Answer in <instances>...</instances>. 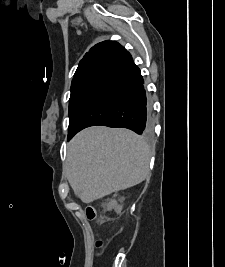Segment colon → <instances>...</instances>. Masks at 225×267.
Segmentation results:
<instances>
[{
	"mask_svg": "<svg viewBox=\"0 0 225 267\" xmlns=\"http://www.w3.org/2000/svg\"><path fill=\"white\" fill-rule=\"evenodd\" d=\"M86 215H87L88 219H94L95 218V215H96L95 208L92 207V206L87 207V209H86ZM96 246L98 248H101L103 246V241L100 240V239H98L96 241Z\"/></svg>",
	"mask_w": 225,
	"mask_h": 267,
	"instance_id": "1",
	"label": "colon"
}]
</instances>
